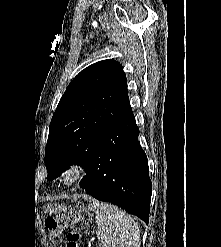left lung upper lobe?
I'll list each match as a JSON object with an SVG mask.
<instances>
[{
	"instance_id": "1",
	"label": "left lung upper lobe",
	"mask_w": 221,
	"mask_h": 247,
	"mask_svg": "<svg viewBox=\"0 0 221 247\" xmlns=\"http://www.w3.org/2000/svg\"><path fill=\"white\" fill-rule=\"evenodd\" d=\"M131 114L119 62L102 60L82 70L68 85L50 123L47 180L57 178L70 164L86 168L107 128Z\"/></svg>"
}]
</instances>
